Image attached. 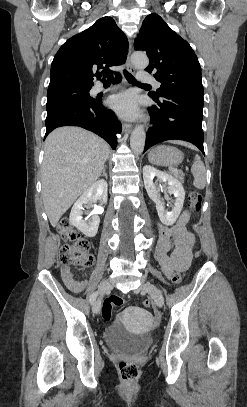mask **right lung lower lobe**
Returning a JSON list of instances; mask_svg holds the SVG:
<instances>
[{"instance_id":"obj_1","label":"right lung lower lobe","mask_w":247,"mask_h":407,"mask_svg":"<svg viewBox=\"0 0 247 407\" xmlns=\"http://www.w3.org/2000/svg\"><path fill=\"white\" fill-rule=\"evenodd\" d=\"M121 81L120 74L114 83ZM74 125L90 130L105 139L115 149L117 146L116 133L121 132L122 126L112 110L102 106L101 98L92 102H67L47 108L46 136L55 128Z\"/></svg>"}]
</instances>
